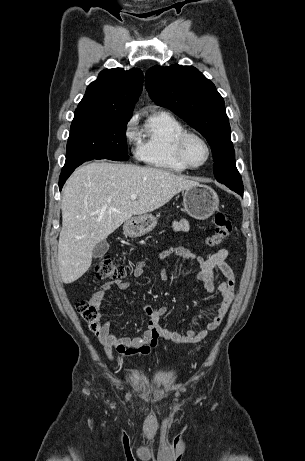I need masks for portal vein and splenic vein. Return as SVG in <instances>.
Listing matches in <instances>:
<instances>
[{
    "instance_id": "obj_1",
    "label": "portal vein and splenic vein",
    "mask_w": 305,
    "mask_h": 461,
    "mask_svg": "<svg viewBox=\"0 0 305 461\" xmlns=\"http://www.w3.org/2000/svg\"><path fill=\"white\" fill-rule=\"evenodd\" d=\"M137 199V194L133 193L131 194V200H136Z\"/></svg>"
}]
</instances>
